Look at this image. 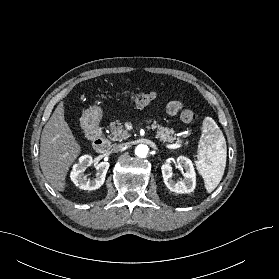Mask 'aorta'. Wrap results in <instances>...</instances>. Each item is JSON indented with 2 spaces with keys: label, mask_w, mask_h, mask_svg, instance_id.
Instances as JSON below:
<instances>
[{
  "label": "aorta",
  "mask_w": 279,
  "mask_h": 279,
  "mask_svg": "<svg viewBox=\"0 0 279 279\" xmlns=\"http://www.w3.org/2000/svg\"><path fill=\"white\" fill-rule=\"evenodd\" d=\"M149 152V148L147 145L140 144L135 149V155L140 158H145Z\"/></svg>",
  "instance_id": "1"
}]
</instances>
